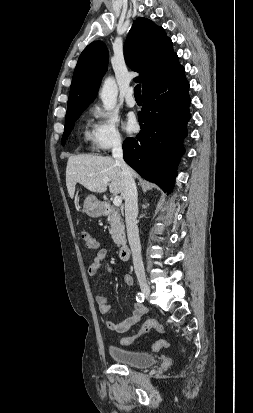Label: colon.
Here are the masks:
<instances>
[{
	"instance_id": "obj_1",
	"label": "colon",
	"mask_w": 253,
	"mask_h": 413,
	"mask_svg": "<svg viewBox=\"0 0 253 413\" xmlns=\"http://www.w3.org/2000/svg\"><path fill=\"white\" fill-rule=\"evenodd\" d=\"M81 238L83 241V244L86 248L88 249H96L98 244L97 241L95 240V238L89 234L86 231H83L81 233ZM150 330H156L160 333L164 332V326L162 323H160L159 321L155 320V319H148L147 321H145L141 328L139 329L138 333L129 337H125L122 339V344L124 345H130L132 344L135 340H137L138 338H140L141 336L145 335L146 333H148ZM168 342L165 340H159L157 341L153 346L152 349L153 350H159L161 348H166L168 346Z\"/></svg>"
}]
</instances>
